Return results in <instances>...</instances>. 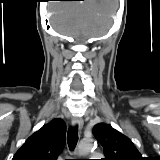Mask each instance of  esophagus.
Instances as JSON below:
<instances>
[{
  "label": "esophagus",
  "instance_id": "esophagus-1",
  "mask_svg": "<svg viewBox=\"0 0 160 160\" xmlns=\"http://www.w3.org/2000/svg\"><path fill=\"white\" fill-rule=\"evenodd\" d=\"M72 124L73 126H77L79 129L83 127V120L80 117L74 116L72 118Z\"/></svg>",
  "mask_w": 160,
  "mask_h": 160
}]
</instances>
